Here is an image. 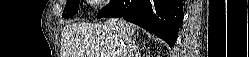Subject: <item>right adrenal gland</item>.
I'll use <instances>...</instances> for the list:
<instances>
[{"label":"right adrenal gland","instance_id":"right-adrenal-gland-1","mask_svg":"<svg viewBox=\"0 0 249 57\" xmlns=\"http://www.w3.org/2000/svg\"><path fill=\"white\" fill-rule=\"evenodd\" d=\"M133 45L135 46L136 56L140 57V48L139 45L136 43V39L133 40Z\"/></svg>","mask_w":249,"mask_h":57}]
</instances>
